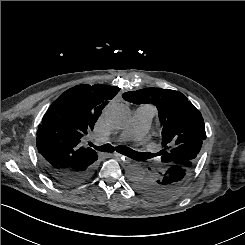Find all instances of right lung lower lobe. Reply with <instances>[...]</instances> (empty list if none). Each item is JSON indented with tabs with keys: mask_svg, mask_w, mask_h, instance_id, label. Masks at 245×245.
I'll use <instances>...</instances> for the list:
<instances>
[{
	"mask_svg": "<svg viewBox=\"0 0 245 245\" xmlns=\"http://www.w3.org/2000/svg\"><path fill=\"white\" fill-rule=\"evenodd\" d=\"M45 171L56 182L64 186H76L89 180L95 172V162L79 170H63L53 168L42 162Z\"/></svg>",
	"mask_w": 245,
	"mask_h": 245,
	"instance_id": "right-lung-lower-lobe-1",
	"label": "right lung lower lobe"
}]
</instances>
